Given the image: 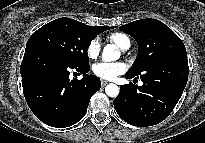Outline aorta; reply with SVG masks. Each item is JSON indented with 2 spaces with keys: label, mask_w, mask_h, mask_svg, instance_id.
<instances>
[{
  "label": "aorta",
  "mask_w": 205,
  "mask_h": 143,
  "mask_svg": "<svg viewBox=\"0 0 205 143\" xmlns=\"http://www.w3.org/2000/svg\"><path fill=\"white\" fill-rule=\"evenodd\" d=\"M102 58L104 61H114L120 58V52L116 49L114 44H107L104 47ZM105 92L109 97H117L119 94V87L116 84L110 83L106 86Z\"/></svg>",
  "instance_id": "1"
}]
</instances>
